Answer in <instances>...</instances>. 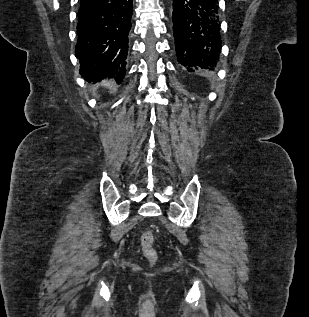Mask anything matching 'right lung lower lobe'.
Here are the masks:
<instances>
[{"label":"right lung lower lobe","mask_w":309,"mask_h":317,"mask_svg":"<svg viewBox=\"0 0 309 317\" xmlns=\"http://www.w3.org/2000/svg\"><path fill=\"white\" fill-rule=\"evenodd\" d=\"M132 14V0H81L75 55L86 81H122Z\"/></svg>","instance_id":"obj_1"}]
</instances>
